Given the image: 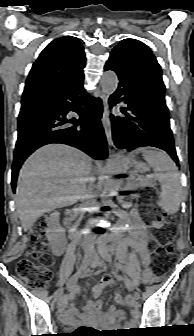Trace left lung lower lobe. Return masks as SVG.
<instances>
[{
    "instance_id": "0a47b994",
    "label": "left lung lower lobe",
    "mask_w": 194,
    "mask_h": 336,
    "mask_svg": "<svg viewBox=\"0 0 194 336\" xmlns=\"http://www.w3.org/2000/svg\"><path fill=\"white\" fill-rule=\"evenodd\" d=\"M104 69L115 71L119 78L118 88L109 99L110 108L121 101L128 104L127 109H122L123 116H111L114 144L128 151L157 147L166 151L178 165L165 100L150 91L118 55L111 53Z\"/></svg>"
}]
</instances>
